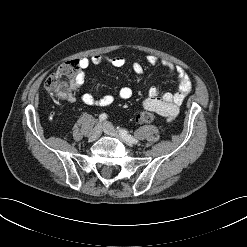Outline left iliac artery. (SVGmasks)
Segmentation results:
<instances>
[{
  "instance_id": "44dca946",
  "label": "left iliac artery",
  "mask_w": 247,
  "mask_h": 247,
  "mask_svg": "<svg viewBox=\"0 0 247 247\" xmlns=\"http://www.w3.org/2000/svg\"><path fill=\"white\" fill-rule=\"evenodd\" d=\"M117 129L119 130L120 132V135L128 142L130 143H133V144H136L138 141L133 137L131 136L127 130L125 129H119V127H117Z\"/></svg>"
}]
</instances>
